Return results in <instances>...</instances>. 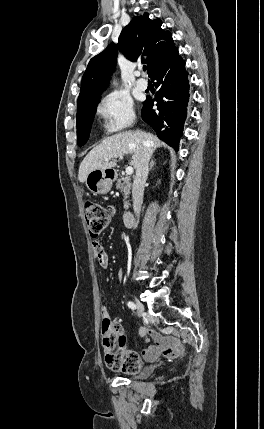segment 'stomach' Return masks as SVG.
Listing matches in <instances>:
<instances>
[{"mask_svg":"<svg viewBox=\"0 0 264 429\" xmlns=\"http://www.w3.org/2000/svg\"><path fill=\"white\" fill-rule=\"evenodd\" d=\"M116 177V171L112 168L93 170L87 175L85 183L88 190L94 195H104L110 191Z\"/></svg>","mask_w":264,"mask_h":429,"instance_id":"obj_1","label":"stomach"}]
</instances>
